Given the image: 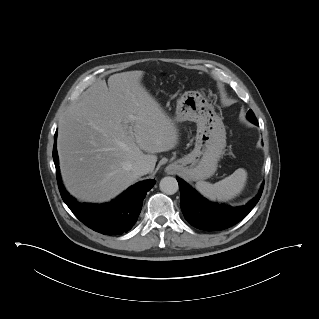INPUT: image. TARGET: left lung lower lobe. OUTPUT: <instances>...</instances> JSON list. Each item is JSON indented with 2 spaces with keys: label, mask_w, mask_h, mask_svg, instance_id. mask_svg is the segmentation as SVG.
<instances>
[{
  "label": "left lung lower lobe",
  "mask_w": 319,
  "mask_h": 319,
  "mask_svg": "<svg viewBox=\"0 0 319 319\" xmlns=\"http://www.w3.org/2000/svg\"><path fill=\"white\" fill-rule=\"evenodd\" d=\"M254 124L258 125L257 122ZM176 179L179 183L180 206L185 219L192 226L206 231L223 230L245 218L259 201L264 186L263 182L258 195L246 205L232 207L209 202L182 179Z\"/></svg>",
  "instance_id": "1"
}]
</instances>
